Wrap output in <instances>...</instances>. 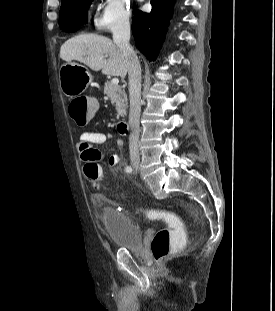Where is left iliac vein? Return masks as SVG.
<instances>
[{
  "instance_id": "1",
  "label": "left iliac vein",
  "mask_w": 275,
  "mask_h": 311,
  "mask_svg": "<svg viewBox=\"0 0 275 311\" xmlns=\"http://www.w3.org/2000/svg\"><path fill=\"white\" fill-rule=\"evenodd\" d=\"M135 170L137 171V170H138V167H136Z\"/></svg>"
}]
</instances>
